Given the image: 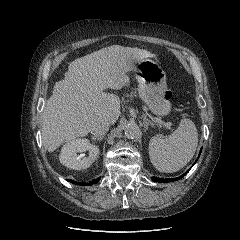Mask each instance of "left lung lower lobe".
I'll use <instances>...</instances> for the list:
<instances>
[{"label": "left lung lower lobe", "instance_id": "1", "mask_svg": "<svg viewBox=\"0 0 240 240\" xmlns=\"http://www.w3.org/2000/svg\"><path fill=\"white\" fill-rule=\"evenodd\" d=\"M200 154H201V151H200ZM200 154H199V155H200ZM188 171H189V170H188ZM188 171L185 172V173H184L182 176H180L179 178H171V179L166 178V179H162V178L152 177L151 179H152L153 181H155V182H158V183L172 182V181H176V180L181 179L182 177H184V175H186V174L188 173Z\"/></svg>", "mask_w": 240, "mask_h": 240}]
</instances>
